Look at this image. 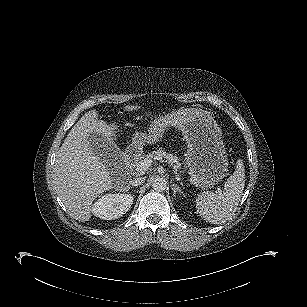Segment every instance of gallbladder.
Instances as JSON below:
<instances>
[{"label":"gallbladder","mask_w":307,"mask_h":307,"mask_svg":"<svg viewBox=\"0 0 307 307\" xmlns=\"http://www.w3.org/2000/svg\"><path fill=\"white\" fill-rule=\"evenodd\" d=\"M89 140L94 153L99 156L104 162H111L110 159L120 157V148L118 146L110 144L102 136L91 134Z\"/></svg>","instance_id":"1"}]
</instances>
